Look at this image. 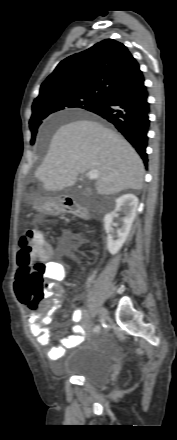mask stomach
Returning a JSON list of instances; mask_svg holds the SVG:
<instances>
[{
	"label": "stomach",
	"mask_w": 177,
	"mask_h": 440,
	"mask_svg": "<svg viewBox=\"0 0 177 440\" xmlns=\"http://www.w3.org/2000/svg\"><path fill=\"white\" fill-rule=\"evenodd\" d=\"M33 207L43 214L58 213L61 210V206L56 198L39 199L34 203Z\"/></svg>",
	"instance_id": "obj_1"
}]
</instances>
